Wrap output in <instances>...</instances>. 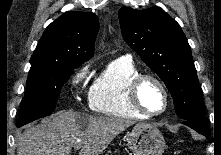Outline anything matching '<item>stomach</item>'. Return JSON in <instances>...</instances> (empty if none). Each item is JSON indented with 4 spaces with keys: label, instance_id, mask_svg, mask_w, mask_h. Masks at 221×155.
Here are the masks:
<instances>
[{
    "label": "stomach",
    "instance_id": "stomach-1",
    "mask_svg": "<svg viewBox=\"0 0 221 155\" xmlns=\"http://www.w3.org/2000/svg\"><path fill=\"white\" fill-rule=\"evenodd\" d=\"M133 155H162L166 142L159 129L150 124H137L127 136Z\"/></svg>",
    "mask_w": 221,
    "mask_h": 155
}]
</instances>
